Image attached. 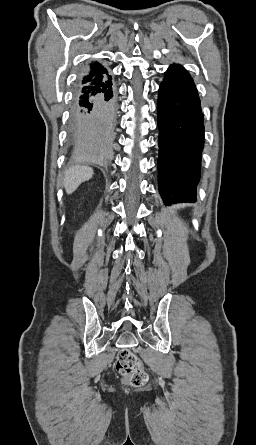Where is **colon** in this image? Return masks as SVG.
<instances>
[{"label":"colon","instance_id":"obj_1","mask_svg":"<svg viewBox=\"0 0 256 445\" xmlns=\"http://www.w3.org/2000/svg\"><path fill=\"white\" fill-rule=\"evenodd\" d=\"M116 372L124 378L130 385L140 387L146 384L148 380L147 373L139 357L129 349H122L118 353Z\"/></svg>","mask_w":256,"mask_h":445}]
</instances>
